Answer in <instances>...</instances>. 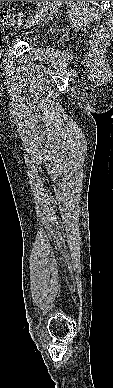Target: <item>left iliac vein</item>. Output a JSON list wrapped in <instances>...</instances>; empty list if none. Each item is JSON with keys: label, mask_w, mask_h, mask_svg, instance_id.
Masks as SVG:
<instances>
[{"label": "left iliac vein", "mask_w": 113, "mask_h": 388, "mask_svg": "<svg viewBox=\"0 0 113 388\" xmlns=\"http://www.w3.org/2000/svg\"><path fill=\"white\" fill-rule=\"evenodd\" d=\"M49 6H50V1H41V5L38 12L34 16V18H31L27 21L26 27L33 26L36 23H38L41 19H43L48 12Z\"/></svg>", "instance_id": "4c4485c4"}]
</instances>
